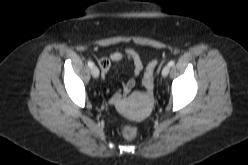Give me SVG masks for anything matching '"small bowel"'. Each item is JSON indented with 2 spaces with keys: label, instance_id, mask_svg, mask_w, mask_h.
<instances>
[{
  "label": "small bowel",
  "instance_id": "small-bowel-1",
  "mask_svg": "<svg viewBox=\"0 0 248 165\" xmlns=\"http://www.w3.org/2000/svg\"><path fill=\"white\" fill-rule=\"evenodd\" d=\"M124 58H127L132 62L133 71L131 77L123 82L121 90L113 95L112 101L114 103L119 102L123 96L129 95L135 88L137 78L140 76L143 70L142 59L137 51L132 48H126L123 52L115 51L112 52L109 56L101 57L98 60L102 77L105 79L109 74L111 64L114 62H119Z\"/></svg>",
  "mask_w": 248,
  "mask_h": 165
}]
</instances>
